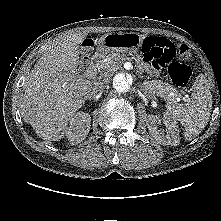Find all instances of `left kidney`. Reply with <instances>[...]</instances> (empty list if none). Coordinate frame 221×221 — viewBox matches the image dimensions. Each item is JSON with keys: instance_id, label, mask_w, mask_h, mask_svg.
<instances>
[{"instance_id": "left-kidney-1", "label": "left kidney", "mask_w": 221, "mask_h": 221, "mask_svg": "<svg viewBox=\"0 0 221 221\" xmlns=\"http://www.w3.org/2000/svg\"><path fill=\"white\" fill-rule=\"evenodd\" d=\"M163 124L168 129L166 135L160 133L157 130L156 125L161 123V119L157 116L151 115L147 120V128L150 135L161 145H171L177 146L180 143L179 129L176 121L172 120L170 117H164Z\"/></svg>"}]
</instances>
